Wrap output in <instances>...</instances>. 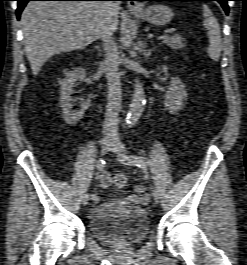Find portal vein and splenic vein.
<instances>
[{
  "label": "portal vein and splenic vein",
  "instance_id": "18ae733b",
  "mask_svg": "<svg viewBox=\"0 0 247 265\" xmlns=\"http://www.w3.org/2000/svg\"><path fill=\"white\" fill-rule=\"evenodd\" d=\"M167 35L166 34H163V35H160L157 37V40H162L166 37Z\"/></svg>",
  "mask_w": 247,
  "mask_h": 265
}]
</instances>
